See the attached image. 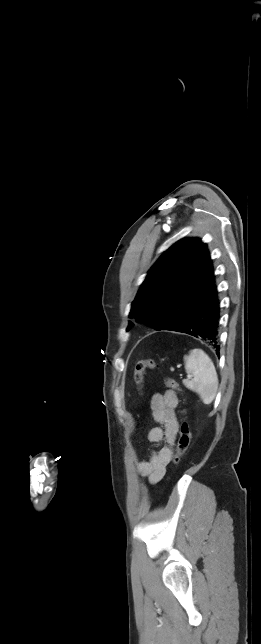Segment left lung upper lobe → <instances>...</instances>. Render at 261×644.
<instances>
[{
  "instance_id": "left-lung-upper-lobe-1",
  "label": "left lung upper lobe",
  "mask_w": 261,
  "mask_h": 644,
  "mask_svg": "<svg viewBox=\"0 0 261 644\" xmlns=\"http://www.w3.org/2000/svg\"><path fill=\"white\" fill-rule=\"evenodd\" d=\"M215 285L206 244L198 238L175 243L149 270L131 307L130 318L156 330L178 323ZM133 326L130 323L128 329Z\"/></svg>"
}]
</instances>
